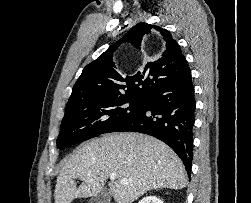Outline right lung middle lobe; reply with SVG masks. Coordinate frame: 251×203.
Segmentation results:
<instances>
[{
	"label": "right lung middle lobe",
	"instance_id": "obj_1",
	"mask_svg": "<svg viewBox=\"0 0 251 203\" xmlns=\"http://www.w3.org/2000/svg\"><path fill=\"white\" fill-rule=\"evenodd\" d=\"M143 106V99L114 98L90 100L66 106L57 138V148L113 132Z\"/></svg>",
	"mask_w": 251,
	"mask_h": 203
}]
</instances>
